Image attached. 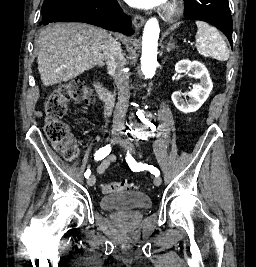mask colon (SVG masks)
<instances>
[{
    "instance_id": "colon-1",
    "label": "colon",
    "mask_w": 256,
    "mask_h": 267,
    "mask_svg": "<svg viewBox=\"0 0 256 267\" xmlns=\"http://www.w3.org/2000/svg\"><path fill=\"white\" fill-rule=\"evenodd\" d=\"M91 92L80 80H72L68 84L60 86L48 95L45 102V133L48 141L62 150L67 161H73L78 148L71 142V134L63 119L67 114V104L91 103ZM139 186L131 182H106L102 184L101 191L104 194L117 192H129L138 190Z\"/></svg>"
}]
</instances>
